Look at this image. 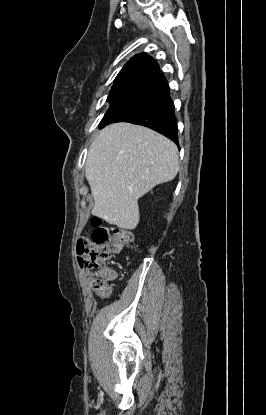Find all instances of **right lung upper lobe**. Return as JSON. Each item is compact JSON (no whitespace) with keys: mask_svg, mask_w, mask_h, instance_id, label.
<instances>
[{"mask_svg":"<svg viewBox=\"0 0 266 415\" xmlns=\"http://www.w3.org/2000/svg\"><path fill=\"white\" fill-rule=\"evenodd\" d=\"M167 84L159 66L149 55L142 53L127 62L115 78L110 92H140L151 94Z\"/></svg>","mask_w":266,"mask_h":415,"instance_id":"cb5924a9","label":"right lung upper lobe"}]
</instances>
